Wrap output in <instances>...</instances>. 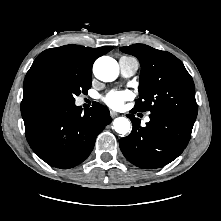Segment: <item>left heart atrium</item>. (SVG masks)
<instances>
[{
	"label": "left heart atrium",
	"instance_id": "39dd6f15",
	"mask_svg": "<svg viewBox=\"0 0 221 221\" xmlns=\"http://www.w3.org/2000/svg\"><path fill=\"white\" fill-rule=\"evenodd\" d=\"M132 93L129 91L114 90L109 92L104 98L103 101L107 106L112 109H121L124 106V103L132 98Z\"/></svg>",
	"mask_w": 221,
	"mask_h": 221
}]
</instances>
